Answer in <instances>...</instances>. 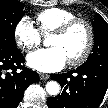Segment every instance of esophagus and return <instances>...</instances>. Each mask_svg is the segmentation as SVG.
Returning <instances> with one entry per match:
<instances>
[{"instance_id":"1","label":"esophagus","mask_w":108,"mask_h":108,"mask_svg":"<svg viewBox=\"0 0 108 108\" xmlns=\"http://www.w3.org/2000/svg\"><path fill=\"white\" fill-rule=\"evenodd\" d=\"M39 76L41 80H47L50 77L48 74L45 73H40Z\"/></svg>"}]
</instances>
